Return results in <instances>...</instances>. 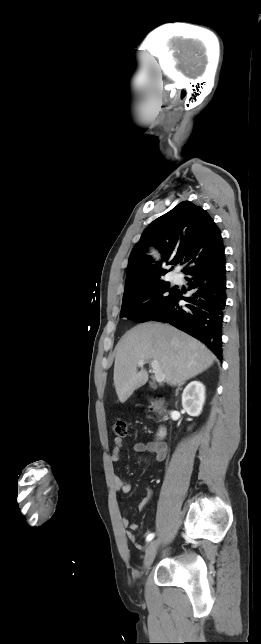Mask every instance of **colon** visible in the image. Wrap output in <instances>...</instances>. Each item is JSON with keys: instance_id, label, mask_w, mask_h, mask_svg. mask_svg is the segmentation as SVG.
<instances>
[{"instance_id": "colon-1", "label": "colon", "mask_w": 261, "mask_h": 644, "mask_svg": "<svg viewBox=\"0 0 261 644\" xmlns=\"http://www.w3.org/2000/svg\"><path fill=\"white\" fill-rule=\"evenodd\" d=\"M157 407H163V401L157 403ZM114 433L118 438H124L127 436V423L125 421L119 420L114 424L113 427Z\"/></svg>"}]
</instances>
